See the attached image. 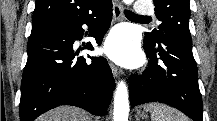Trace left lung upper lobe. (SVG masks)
Returning a JSON list of instances; mask_svg holds the SVG:
<instances>
[{"mask_svg": "<svg viewBox=\"0 0 217 121\" xmlns=\"http://www.w3.org/2000/svg\"><path fill=\"white\" fill-rule=\"evenodd\" d=\"M156 17L161 24L158 29L146 33L144 39L156 44L166 35L175 36L192 45L189 30V0H153Z\"/></svg>", "mask_w": 217, "mask_h": 121, "instance_id": "1", "label": "left lung upper lobe"}]
</instances>
